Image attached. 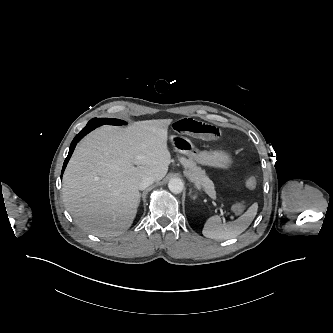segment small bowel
Returning a JSON list of instances; mask_svg holds the SVG:
<instances>
[{
  "mask_svg": "<svg viewBox=\"0 0 333 333\" xmlns=\"http://www.w3.org/2000/svg\"><path fill=\"white\" fill-rule=\"evenodd\" d=\"M174 132L201 140H215L221 136L218 127L193 118H183L172 123Z\"/></svg>",
  "mask_w": 333,
  "mask_h": 333,
  "instance_id": "c3829d8e",
  "label": "small bowel"
}]
</instances>
